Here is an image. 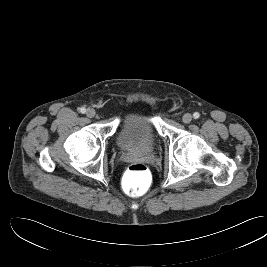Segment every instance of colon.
<instances>
[{"label": "colon", "instance_id": "colon-1", "mask_svg": "<svg viewBox=\"0 0 267 267\" xmlns=\"http://www.w3.org/2000/svg\"><path fill=\"white\" fill-rule=\"evenodd\" d=\"M151 185V173L146 165L140 162L131 164L122 179V188L129 196H141Z\"/></svg>", "mask_w": 267, "mask_h": 267}]
</instances>
